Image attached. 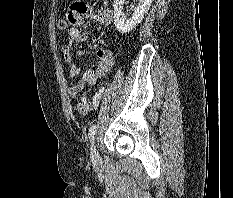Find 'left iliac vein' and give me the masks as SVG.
<instances>
[{
    "label": "left iliac vein",
    "instance_id": "left-iliac-vein-1",
    "mask_svg": "<svg viewBox=\"0 0 233 198\" xmlns=\"http://www.w3.org/2000/svg\"><path fill=\"white\" fill-rule=\"evenodd\" d=\"M90 154H91V159H92V161H94V162L99 161L100 156H99V153H98V151H97V147H96V145L94 144V142H93L92 145H91Z\"/></svg>",
    "mask_w": 233,
    "mask_h": 198
}]
</instances>
